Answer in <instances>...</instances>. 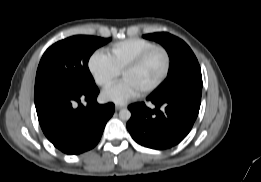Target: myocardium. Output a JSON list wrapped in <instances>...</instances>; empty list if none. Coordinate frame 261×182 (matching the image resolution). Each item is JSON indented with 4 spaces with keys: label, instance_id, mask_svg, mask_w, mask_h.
<instances>
[{
    "label": "myocardium",
    "instance_id": "obj_1",
    "mask_svg": "<svg viewBox=\"0 0 261 182\" xmlns=\"http://www.w3.org/2000/svg\"><path fill=\"white\" fill-rule=\"evenodd\" d=\"M156 51H160L164 55L165 67H164L163 73L160 76V78L156 82H154L152 85H150L149 87L144 89L142 91L143 94H148V93L156 90L167 79L170 69H171V56H170V53L168 52V50L165 47L159 46V45L151 47V48L147 49L146 51L142 52L140 55H138L130 63H128L124 67V69L121 71V75L123 76L124 73L138 68L151 54H153Z\"/></svg>",
    "mask_w": 261,
    "mask_h": 182
}]
</instances>
